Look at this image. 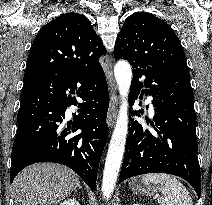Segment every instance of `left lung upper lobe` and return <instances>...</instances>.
Listing matches in <instances>:
<instances>
[{"mask_svg":"<svg viewBox=\"0 0 212 205\" xmlns=\"http://www.w3.org/2000/svg\"><path fill=\"white\" fill-rule=\"evenodd\" d=\"M114 57L128 60L133 68L165 65L189 73L175 32L147 12H137L126 19L115 43Z\"/></svg>","mask_w":212,"mask_h":205,"instance_id":"left-lung-upper-lobe-1","label":"left lung upper lobe"}]
</instances>
